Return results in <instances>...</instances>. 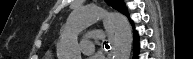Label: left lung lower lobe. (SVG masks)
<instances>
[{
    "instance_id": "obj_1",
    "label": "left lung lower lobe",
    "mask_w": 193,
    "mask_h": 59,
    "mask_svg": "<svg viewBox=\"0 0 193 59\" xmlns=\"http://www.w3.org/2000/svg\"><path fill=\"white\" fill-rule=\"evenodd\" d=\"M138 48H139V45H138V35H137V32H134V49H135V56H134V59H137V53H138Z\"/></svg>"
}]
</instances>
